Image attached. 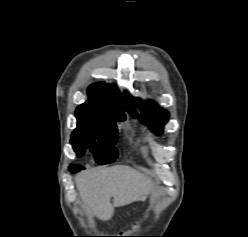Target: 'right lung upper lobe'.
<instances>
[{
  "label": "right lung upper lobe",
  "mask_w": 248,
  "mask_h": 237,
  "mask_svg": "<svg viewBox=\"0 0 248 237\" xmlns=\"http://www.w3.org/2000/svg\"><path fill=\"white\" fill-rule=\"evenodd\" d=\"M88 95V100L76 112L102 118L125 116L122 97L114 85L94 84L89 87Z\"/></svg>",
  "instance_id": "1"
}]
</instances>
